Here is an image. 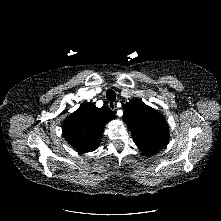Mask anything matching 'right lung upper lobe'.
Returning a JSON list of instances; mask_svg holds the SVG:
<instances>
[{"label":"right lung upper lobe","instance_id":"right-lung-upper-lobe-1","mask_svg":"<svg viewBox=\"0 0 221 221\" xmlns=\"http://www.w3.org/2000/svg\"><path fill=\"white\" fill-rule=\"evenodd\" d=\"M115 118L108 108L92 103L81 105L63 123L66 141L82 152L94 151L100 143L105 125Z\"/></svg>","mask_w":221,"mask_h":221}]
</instances>
